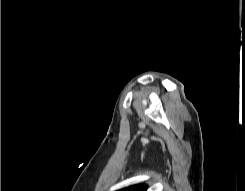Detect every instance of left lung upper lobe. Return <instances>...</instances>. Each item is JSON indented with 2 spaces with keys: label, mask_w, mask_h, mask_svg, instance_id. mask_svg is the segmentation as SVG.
Instances as JSON below:
<instances>
[{
  "label": "left lung upper lobe",
  "mask_w": 245,
  "mask_h": 191,
  "mask_svg": "<svg viewBox=\"0 0 245 191\" xmlns=\"http://www.w3.org/2000/svg\"><path fill=\"white\" fill-rule=\"evenodd\" d=\"M146 190H147V185L138 184V185L129 186L127 188H123L119 191H146Z\"/></svg>",
  "instance_id": "obj_1"
}]
</instances>
